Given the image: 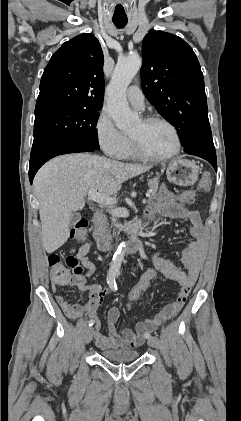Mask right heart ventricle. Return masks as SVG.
<instances>
[{
    "label": "right heart ventricle",
    "mask_w": 241,
    "mask_h": 421,
    "mask_svg": "<svg viewBox=\"0 0 241 421\" xmlns=\"http://www.w3.org/2000/svg\"><path fill=\"white\" fill-rule=\"evenodd\" d=\"M120 158H125V159L137 158V155L135 154V152L132 148L130 138H128V137H127V144H126L125 149H124Z\"/></svg>",
    "instance_id": "1"
}]
</instances>
